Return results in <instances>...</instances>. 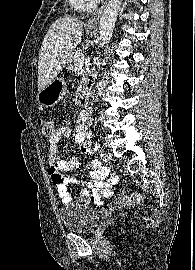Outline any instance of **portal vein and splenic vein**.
<instances>
[{
  "label": "portal vein and splenic vein",
  "mask_w": 195,
  "mask_h": 270,
  "mask_svg": "<svg viewBox=\"0 0 195 270\" xmlns=\"http://www.w3.org/2000/svg\"><path fill=\"white\" fill-rule=\"evenodd\" d=\"M75 58H76V60H77L78 62H81V61L84 60L85 54L82 53V52H78V53L75 54Z\"/></svg>",
  "instance_id": "obj_1"
}]
</instances>
